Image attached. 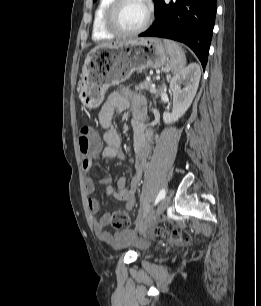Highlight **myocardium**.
I'll return each instance as SVG.
<instances>
[{"instance_id": "1", "label": "myocardium", "mask_w": 261, "mask_h": 306, "mask_svg": "<svg viewBox=\"0 0 261 306\" xmlns=\"http://www.w3.org/2000/svg\"><path fill=\"white\" fill-rule=\"evenodd\" d=\"M142 1L146 6V17L144 22L134 30H125L119 26L116 20L117 11L120 8V6L125 2V0H111L103 16V23L106 29L112 34L120 37L135 36L146 30L152 20L153 5L150 0H142Z\"/></svg>"}]
</instances>
